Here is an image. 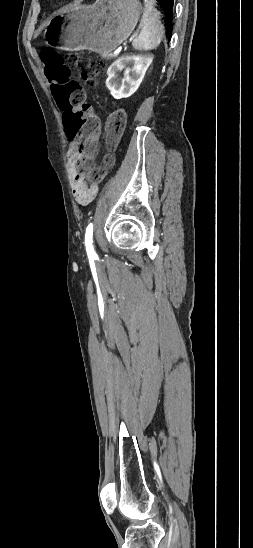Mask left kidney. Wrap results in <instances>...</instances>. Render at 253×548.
I'll return each mask as SVG.
<instances>
[{"label":"left kidney","mask_w":253,"mask_h":548,"mask_svg":"<svg viewBox=\"0 0 253 548\" xmlns=\"http://www.w3.org/2000/svg\"><path fill=\"white\" fill-rule=\"evenodd\" d=\"M151 55L122 56L107 70L106 86L115 99L128 98L136 92L152 63ZM125 69L126 76L120 80L118 72ZM131 72V75H130Z\"/></svg>","instance_id":"5707ae66"}]
</instances>
